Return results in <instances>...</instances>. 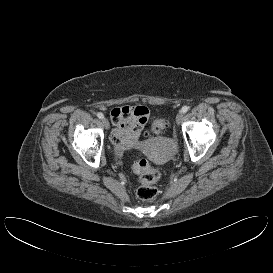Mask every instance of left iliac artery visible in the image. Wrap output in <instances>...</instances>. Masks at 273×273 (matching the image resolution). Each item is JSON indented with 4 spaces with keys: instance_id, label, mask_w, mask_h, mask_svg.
Listing matches in <instances>:
<instances>
[{
    "instance_id": "1",
    "label": "left iliac artery",
    "mask_w": 273,
    "mask_h": 273,
    "mask_svg": "<svg viewBox=\"0 0 273 273\" xmlns=\"http://www.w3.org/2000/svg\"><path fill=\"white\" fill-rule=\"evenodd\" d=\"M188 110H189V107H188V106H183L182 109H181V111H182L183 113H186Z\"/></svg>"
}]
</instances>
